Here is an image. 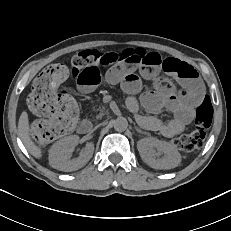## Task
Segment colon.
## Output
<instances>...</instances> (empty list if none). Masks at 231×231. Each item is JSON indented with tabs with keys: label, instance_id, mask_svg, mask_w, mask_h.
<instances>
[{
	"label": "colon",
	"instance_id": "obj_1",
	"mask_svg": "<svg viewBox=\"0 0 231 231\" xmlns=\"http://www.w3.org/2000/svg\"><path fill=\"white\" fill-rule=\"evenodd\" d=\"M154 56L143 49H126L116 52L85 51L71 59V69L73 74L78 76L85 68L92 65L109 67L121 62H144ZM68 74L69 70L65 65L52 64L43 69L33 82L28 106L39 117L31 126L32 138L38 145L49 144L69 133L78 118L75 100L59 89ZM212 116V106L205 99L197 107L194 130L174 139V146L184 151L202 147Z\"/></svg>",
	"mask_w": 231,
	"mask_h": 231
}]
</instances>
